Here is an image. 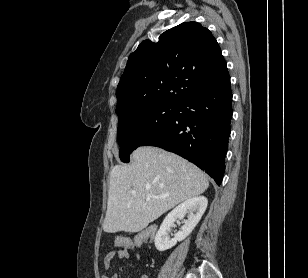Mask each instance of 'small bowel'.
Instances as JSON below:
<instances>
[{"label": "small bowel", "instance_id": "obj_1", "mask_svg": "<svg viewBox=\"0 0 308 278\" xmlns=\"http://www.w3.org/2000/svg\"><path fill=\"white\" fill-rule=\"evenodd\" d=\"M131 251L133 250H121L120 247L117 249H114L110 251L103 260V267L104 269H108L110 267L111 261L115 258L117 259H128L130 258ZM136 258L139 259V254H135ZM102 278H118V275L116 273H113L112 275H104ZM141 278H149L146 274H142Z\"/></svg>", "mask_w": 308, "mask_h": 278}]
</instances>
